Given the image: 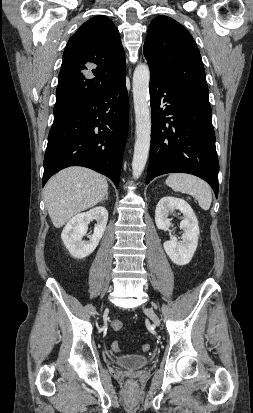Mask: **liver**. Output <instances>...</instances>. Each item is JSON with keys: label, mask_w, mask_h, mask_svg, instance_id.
Wrapping results in <instances>:
<instances>
[{"label": "liver", "mask_w": 253, "mask_h": 413, "mask_svg": "<svg viewBox=\"0 0 253 413\" xmlns=\"http://www.w3.org/2000/svg\"><path fill=\"white\" fill-rule=\"evenodd\" d=\"M108 193L102 175L84 167L66 168L51 177L44 188V201L56 228L101 202Z\"/></svg>", "instance_id": "1"}]
</instances>
